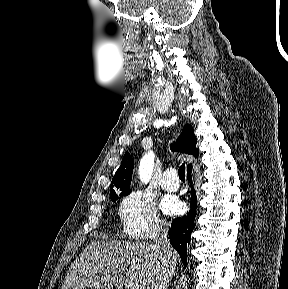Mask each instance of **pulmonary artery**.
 <instances>
[{
	"instance_id": "e3ab8cb5",
	"label": "pulmonary artery",
	"mask_w": 288,
	"mask_h": 289,
	"mask_svg": "<svg viewBox=\"0 0 288 289\" xmlns=\"http://www.w3.org/2000/svg\"><path fill=\"white\" fill-rule=\"evenodd\" d=\"M161 187L166 191H176L179 187V180L173 169L164 171L161 181Z\"/></svg>"
}]
</instances>
